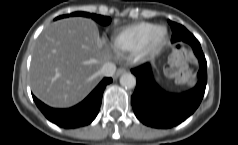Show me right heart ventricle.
I'll list each match as a JSON object with an SVG mask.
<instances>
[{"instance_id": "1", "label": "right heart ventricle", "mask_w": 238, "mask_h": 145, "mask_svg": "<svg viewBox=\"0 0 238 145\" xmlns=\"http://www.w3.org/2000/svg\"><path fill=\"white\" fill-rule=\"evenodd\" d=\"M155 26L153 23L141 22L121 28L111 35L110 45L119 55L136 52Z\"/></svg>"}]
</instances>
